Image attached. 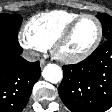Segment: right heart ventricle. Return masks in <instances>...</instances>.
Here are the masks:
<instances>
[{"label": "right heart ventricle", "instance_id": "e07e8e85", "mask_svg": "<svg viewBox=\"0 0 112 112\" xmlns=\"http://www.w3.org/2000/svg\"><path fill=\"white\" fill-rule=\"evenodd\" d=\"M80 14L68 10H52L35 15L26 27L35 38L49 47L60 32Z\"/></svg>", "mask_w": 112, "mask_h": 112}]
</instances>
